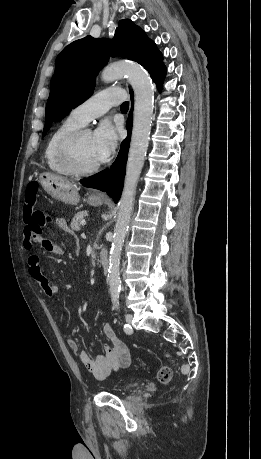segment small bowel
<instances>
[{
    "label": "small bowel",
    "instance_id": "obj_1",
    "mask_svg": "<svg viewBox=\"0 0 261 459\" xmlns=\"http://www.w3.org/2000/svg\"><path fill=\"white\" fill-rule=\"evenodd\" d=\"M57 225L64 231L71 233L70 228L63 219L56 220ZM23 244L26 249H31L34 244H39L45 251L58 253L53 241L47 238L43 233H37L35 238H23ZM28 272L34 279L44 294L53 298L58 293V286L51 282L41 270L39 257L32 254L28 259ZM103 333L109 343L104 345V353L91 359L85 350L79 352L81 363L98 378L103 379L119 368H126L130 365L131 358L127 346L117 337L113 326L110 323L103 325ZM67 345L70 350L76 352L79 349L78 343L73 338L67 339Z\"/></svg>",
    "mask_w": 261,
    "mask_h": 459
}]
</instances>
